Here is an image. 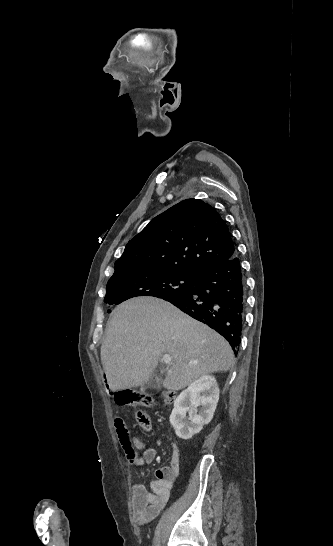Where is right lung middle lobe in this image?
I'll return each mask as SVG.
<instances>
[{
    "mask_svg": "<svg viewBox=\"0 0 333 546\" xmlns=\"http://www.w3.org/2000/svg\"><path fill=\"white\" fill-rule=\"evenodd\" d=\"M198 276L176 272L146 271L138 267H123L115 270L107 283L105 303L117 305L137 296L163 298L190 291Z\"/></svg>",
    "mask_w": 333,
    "mask_h": 546,
    "instance_id": "obj_1",
    "label": "right lung middle lobe"
}]
</instances>
